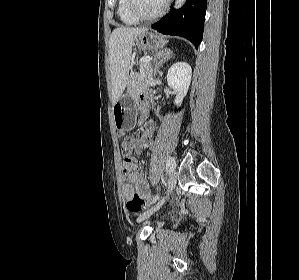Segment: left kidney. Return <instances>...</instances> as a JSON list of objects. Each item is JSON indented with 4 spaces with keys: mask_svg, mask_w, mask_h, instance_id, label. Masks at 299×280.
<instances>
[{
    "mask_svg": "<svg viewBox=\"0 0 299 280\" xmlns=\"http://www.w3.org/2000/svg\"><path fill=\"white\" fill-rule=\"evenodd\" d=\"M192 69L186 62L173 64L167 73V83L176 93L175 104L179 103L186 96L191 83Z\"/></svg>",
    "mask_w": 299,
    "mask_h": 280,
    "instance_id": "left-kidney-1",
    "label": "left kidney"
}]
</instances>
